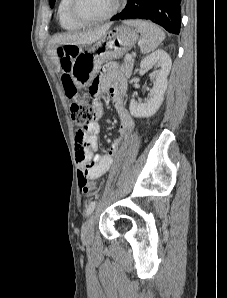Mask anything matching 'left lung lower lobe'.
Returning <instances> with one entry per match:
<instances>
[{
    "label": "left lung lower lobe",
    "mask_w": 227,
    "mask_h": 298,
    "mask_svg": "<svg viewBox=\"0 0 227 298\" xmlns=\"http://www.w3.org/2000/svg\"><path fill=\"white\" fill-rule=\"evenodd\" d=\"M181 0H128L114 20L146 19L161 25L168 32L179 34L181 23Z\"/></svg>",
    "instance_id": "left-lung-lower-lobe-1"
}]
</instances>
